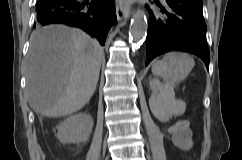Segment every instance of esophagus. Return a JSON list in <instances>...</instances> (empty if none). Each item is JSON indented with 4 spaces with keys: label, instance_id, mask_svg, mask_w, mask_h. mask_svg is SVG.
I'll use <instances>...</instances> for the list:
<instances>
[{
    "label": "esophagus",
    "instance_id": "esophagus-1",
    "mask_svg": "<svg viewBox=\"0 0 242 160\" xmlns=\"http://www.w3.org/2000/svg\"><path fill=\"white\" fill-rule=\"evenodd\" d=\"M130 9L124 5L123 0L116 2V15L118 20L127 19L130 16Z\"/></svg>",
    "mask_w": 242,
    "mask_h": 160
}]
</instances>
